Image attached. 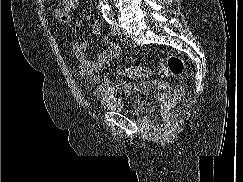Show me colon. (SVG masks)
<instances>
[{"instance_id":"5ec220e1","label":"colon","mask_w":243,"mask_h":182,"mask_svg":"<svg viewBox=\"0 0 243 182\" xmlns=\"http://www.w3.org/2000/svg\"><path fill=\"white\" fill-rule=\"evenodd\" d=\"M64 1V0H62ZM185 63L181 57L170 55L164 62H161L158 71L164 75L178 76L184 72ZM120 73L133 79H146L150 75L149 69L143 66H131L124 68ZM182 90L180 88L171 89L161 93L158 97L162 113L169 111L173 103L180 97Z\"/></svg>"}]
</instances>
